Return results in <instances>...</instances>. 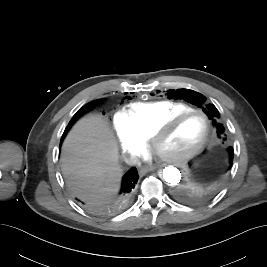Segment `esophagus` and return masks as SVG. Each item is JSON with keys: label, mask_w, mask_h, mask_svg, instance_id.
Returning <instances> with one entry per match:
<instances>
[{"label": "esophagus", "mask_w": 267, "mask_h": 267, "mask_svg": "<svg viewBox=\"0 0 267 267\" xmlns=\"http://www.w3.org/2000/svg\"><path fill=\"white\" fill-rule=\"evenodd\" d=\"M154 166L143 167L139 170L140 175H145L147 172L154 170Z\"/></svg>", "instance_id": "1"}]
</instances>
